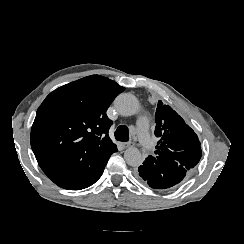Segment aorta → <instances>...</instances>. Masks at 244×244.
Wrapping results in <instances>:
<instances>
[{
	"instance_id": "obj_1",
	"label": "aorta",
	"mask_w": 244,
	"mask_h": 244,
	"mask_svg": "<svg viewBox=\"0 0 244 244\" xmlns=\"http://www.w3.org/2000/svg\"><path fill=\"white\" fill-rule=\"evenodd\" d=\"M116 110L123 116H131L139 112L140 104L136 97L124 93L116 97L114 101ZM124 159L129 166L138 167L142 164L141 152L135 147H129L124 152Z\"/></svg>"
}]
</instances>
